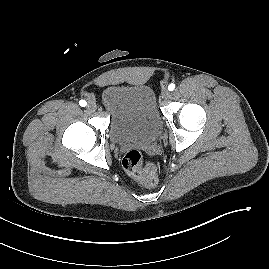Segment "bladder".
Instances as JSON below:
<instances>
[{"label":"bladder","instance_id":"31cf9c89","mask_svg":"<svg viewBox=\"0 0 269 269\" xmlns=\"http://www.w3.org/2000/svg\"><path fill=\"white\" fill-rule=\"evenodd\" d=\"M101 100L110 115L109 135L114 143L148 145L161 134L162 121L149 86L110 85Z\"/></svg>","mask_w":269,"mask_h":269}]
</instances>
